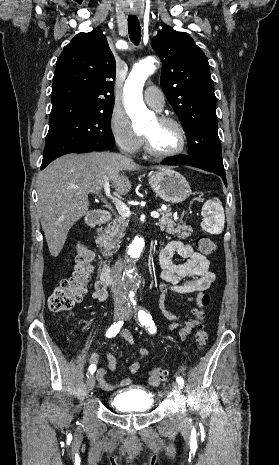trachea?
Wrapping results in <instances>:
<instances>
[{
    "instance_id": "3493384b",
    "label": "trachea",
    "mask_w": 279,
    "mask_h": 465,
    "mask_svg": "<svg viewBox=\"0 0 279 465\" xmlns=\"http://www.w3.org/2000/svg\"><path fill=\"white\" fill-rule=\"evenodd\" d=\"M128 32L131 41L138 45L141 39V27L136 16H128Z\"/></svg>"
}]
</instances>
